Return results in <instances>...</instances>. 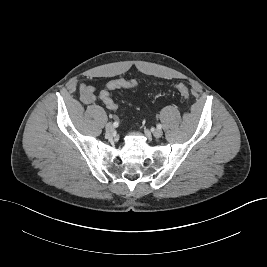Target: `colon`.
I'll return each mask as SVG.
<instances>
[{"label":"colon","mask_w":267,"mask_h":267,"mask_svg":"<svg viewBox=\"0 0 267 267\" xmlns=\"http://www.w3.org/2000/svg\"><path fill=\"white\" fill-rule=\"evenodd\" d=\"M138 86V83L134 80H126V79H118L110 81L104 90L100 93V98L102 102L106 105V107L110 110H116L117 104L113 101L111 97V91L120 89V88H135ZM175 88L177 91L185 98L188 99L190 96V92L187 86L184 84H176Z\"/></svg>","instance_id":"obj_1"}]
</instances>
